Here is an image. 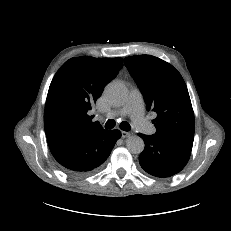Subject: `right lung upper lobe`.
<instances>
[{"mask_svg": "<svg viewBox=\"0 0 231 231\" xmlns=\"http://www.w3.org/2000/svg\"><path fill=\"white\" fill-rule=\"evenodd\" d=\"M122 67V58L81 56L66 61L53 77L46 99L47 139L103 130L89 110Z\"/></svg>", "mask_w": 231, "mask_h": 231, "instance_id": "1", "label": "right lung upper lobe"}]
</instances>
